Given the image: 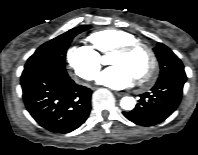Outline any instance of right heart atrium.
I'll list each match as a JSON object with an SVG mask.
<instances>
[{
	"label": "right heart atrium",
	"instance_id": "right-heart-atrium-1",
	"mask_svg": "<svg viewBox=\"0 0 198 155\" xmlns=\"http://www.w3.org/2000/svg\"><path fill=\"white\" fill-rule=\"evenodd\" d=\"M66 61L73 76L84 80L94 79L101 68L100 54L88 45H71Z\"/></svg>",
	"mask_w": 198,
	"mask_h": 155
}]
</instances>
